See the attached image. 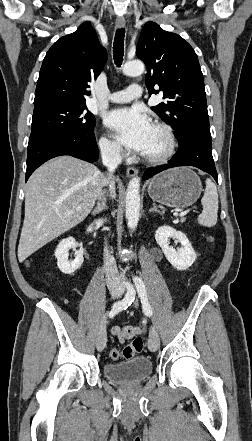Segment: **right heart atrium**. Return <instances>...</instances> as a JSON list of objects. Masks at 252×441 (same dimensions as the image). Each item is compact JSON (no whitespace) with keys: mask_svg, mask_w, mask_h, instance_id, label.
I'll return each instance as SVG.
<instances>
[{"mask_svg":"<svg viewBox=\"0 0 252 441\" xmlns=\"http://www.w3.org/2000/svg\"><path fill=\"white\" fill-rule=\"evenodd\" d=\"M99 146L102 153L111 158H120L124 155L122 147L106 135L99 139Z\"/></svg>","mask_w":252,"mask_h":441,"instance_id":"obj_1","label":"right heart atrium"}]
</instances>
